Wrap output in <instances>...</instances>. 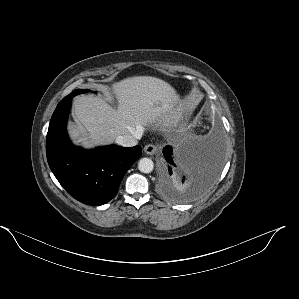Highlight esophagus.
I'll return each instance as SVG.
<instances>
[{"label":"esophagus","mask_w":299,"mask_h":299,"mask_svg":"<svg viewBox=\"0 0 299 299\" xmlns=\"http://www.w3.org/2000/svg\"><path fill=\"white\" fill-rule=\"evenodd\" d=\"M158 148L154 144H148L144 147V152L148 155H153L157 152Z\"/></svg>","instance_id":"34e87169"}]
</instances>
